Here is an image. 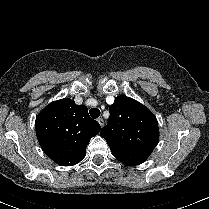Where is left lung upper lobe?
I'll use <instances>...</instances> for the list:
<instances>
[{
    "label": "left lung upper lobe",
    "mask_w": 209,
    "mask_h": 209,
    "mask_svg": "<svg viewBox=\"0 0 209 209\" xmlns=\"http://www.w3.org/2000/svg\"><path fill=\"white\" fill-rule=\"evenodd\" d=\"M108 125L101 130L113 156L127 165L143 163L159 139L156 117L138 101L118 96L109 109Z\"/></svg>",
    "instance_id": "5c2ea615"
}]
</instances>
